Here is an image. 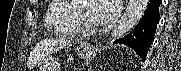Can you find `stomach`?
Listing matches in <instances>:
<instances>
[{
	"instance_id": "1",
	"label": "stomach",
	"mask_w": 181,
	"mask_h": 71,
	"mask_svg": "<svg viewBox=\"0 0 181 71\" xmlns=\"http://www.w3.org/2000/svg\"><path fill=\"white\" fill-rule=\"evenodd\" d=\"M80 58L92 60L97 56L96 50L90 45H82L78 50ZM40 71H58L57 66L53 62L45 61L39 66Z\"/></svg>"
}]
</instances>
